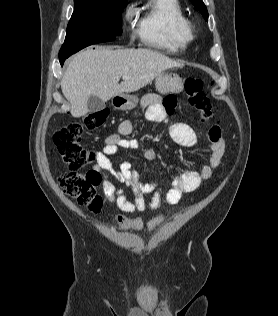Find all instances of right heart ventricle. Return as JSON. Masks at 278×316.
I'll return each instance as SVG.
<instances>
[{
    "instance_id": "1",
    "label": "right heart ventricle",
    "mask_w": 278,
    "mask_h": 316,
    "mask_svg": "<svg viewBox=\"0 0 278 316\" xmlns=\"http://www.w3.org/2000/svg\"><path fill=\"white\" fill-rule=\"evenodd\" d=\"M136 35L143 45L172 54L183 53L192 41L179 0H147L138 13Z\"/></svg>"
}]
</instances>
